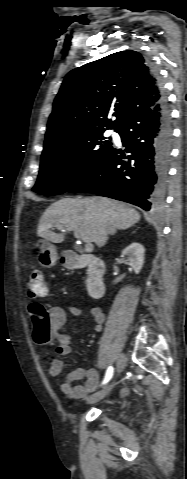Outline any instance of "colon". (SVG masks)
Here are the masks:
<instances>
[{
  "label": "colon",
  "instance_id": "colon-1",
  "mask_svg": "<svg viewBox=\"0 0 187 479\" xmlns=\"http://www.w3.org/2000/svg\"><path fill=\"white\" fill-rule=\"evenodd\" d=\"M27 294L32 299L43 298L48 294V285L44 279L41 270H34L27 283ZM31 316L36 324L37 329L48 328L50 325V315L43 305L34 303L30 306Z\"/></svg>",
  "mask_w": 187,
  "mask_h": 479
}]
</instances>
